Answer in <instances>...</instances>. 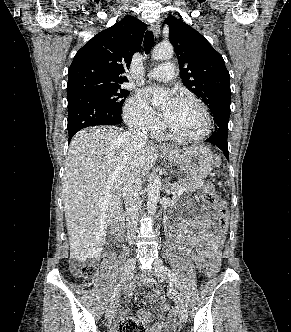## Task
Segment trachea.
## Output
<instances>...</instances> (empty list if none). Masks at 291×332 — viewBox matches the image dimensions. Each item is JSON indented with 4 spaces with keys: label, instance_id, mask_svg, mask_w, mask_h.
<instances>
[{
    "label": "trachea",
    "instance_id": "1",
    "mask_svg": "<svg viewBox=\"0 0 291 332\" xmlns=\"http://www.w3.org/2000/svg\"><path fill=\"white\" fill-rule=\"evenodd\" d=\"M154 44V35L151 31H146L144 37V51L149 54Z\"/></svg>",
    "mask_w": 291,
    "mask_h": 332
}]
</instances>
